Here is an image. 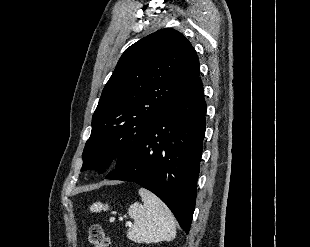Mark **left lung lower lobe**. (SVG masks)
<instances>
[{"label":"left lung lower lobe","mask_w":310,"mask_h":247,"mask_svg":"<svg viewBox=\"0 0 310 247\" xmlns=\"http://www.w3.org/2000/svg\"><path fill=\"white\" fill-rule=\"evenodd\" d=\"M205 114L198 77L155 120L133 155L106 176L135 182L156 194L186 233L195 209Z\"/></svg>","instance_id":"1"}]
</instances>
